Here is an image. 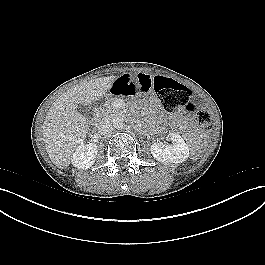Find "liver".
Instances as JSON below:
<instances>
[{
  "mask_svg": "<svg viewBox=\"0 0 265 265\" xmlns=\"http://www.w3.org/2000/svg\"><path fill=\"white\" fill-rule=\"evenodd\" d=\"M116 76H107L74 85L56 99L43 124V141L51 161L67 168L72 155L88 133L87 118L77 112L78 105L88 106L103 98Z\"/></svg>",
  "mask_w": 265,
  "mask_h": 265,
  "instance_id": "1",
  "label": "liver"
}]
</instances>
